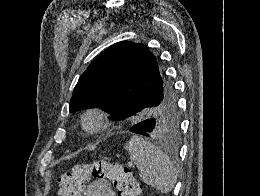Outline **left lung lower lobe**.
Segmentation results:
<instances>
[{"mask_svg":"<svg viewBox=\"0 0 260 196\" xmlns=\"http://www.w3.org/2000/svg\"><path fill=\"white\" fill-rule=\"evenodd\" d=\"M134 109L126 108H115L114 111L109 112L112 117V120L120 121V120H127L134 114ZM155 129V122L151 119L143 120L139 123H136L130 127V131L133 133H137L140 135H144L147 137H151L153 131Z\"/></svg>","mask_w":260,"mask_h":196,"instance_id":"1","label":"left lung lower lobe"}]
</instances>
